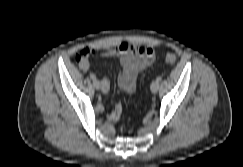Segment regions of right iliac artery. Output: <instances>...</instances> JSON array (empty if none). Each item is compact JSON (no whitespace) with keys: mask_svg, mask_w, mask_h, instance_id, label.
Wrapping results in <instances>:
<instances>
[{"mask_svg":"<svg viewBox=\"0 0 243 167\" xmlns=\"http://www.w3.org/2000/svg\"><path fill=\"white\" fill-rule=\"evenodd\" d=\"M90 78L94 81L96 80V76L94 74H90Z\"/></svg>","mask_w":243,"mask_h":167,"instance_id":"82829eb1","label":"right iliac artery"}]
</instances>
